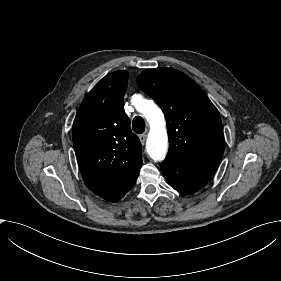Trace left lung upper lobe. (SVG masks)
Returning a JSON list of instances; mask_svg holds the SVG:
<instances>
[{
  "mask_svg": "<svg viewBox=\"0 0 281 281\" xmlns=\"http://www.w3.org/2000/svg\"><path fill=\"white\" fill-rule=\"evenodd\" d=\"M138 86L166 117L169 152L166 160L195 168H217L224 152L218 110L187 75L172 68L147 69Z\"/></svg>",
  "mask_w": 281,
  "mask_h": 281,
  "instance_id": "5c2ea615",
  "label": "left lung upper lobe"
}]
</instances>
